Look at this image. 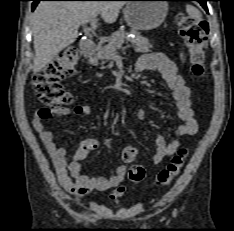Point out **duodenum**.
<instances>
[{"label": "duodenum", "mask_w": 234, "mask_h": 231, "mask_svg": "<svg viewBox=\"0 0 234 231\" xmlns=\"http://www.w3.org/2000/svg\"><path fill=\"white\" fill-rule=\"evenodd\" d=\"M80 50L84 57L90 58L96 51V43L93 40H85L81 44ZM137 70H139V68Z\"/></svg>", "instance_id": "410a0bca"}]
</instances>
